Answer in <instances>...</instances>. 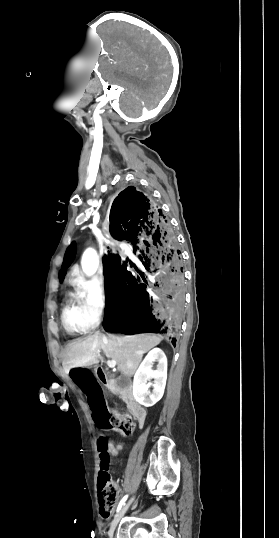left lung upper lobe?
Instances as JSON below:
<instances>
[{"label": "left lung upper lobe", "instance_id": "left-lung-upper-lobe-1", "mask_svg": "<svg viewBox=\"0 0 279 538\" xmlns=\"http://www.w3.org/2000/svg\"><path fill=\"white\" fill-rule=\"evenodd\" d=\"M75 253H76V244L75 242H73L71 246L67 249L64 256V261L62 265L63 269L59 273V278L61 282L63 281L64 276L66 274V268L72 263V261L75 258Z\"/></svg>", "mask_w": 279, "mask_h": 538}]
</instances>
